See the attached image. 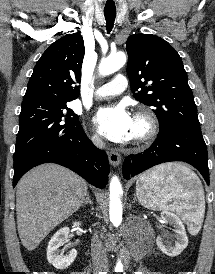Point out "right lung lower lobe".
<instances>
[{
    "instance_id": "obj_1",
    "label": "right lung lower lobe",
    "mask_w": 215,
    "mask_h": 274,
    "mask_svg": "<svg viewBox=\"0 0 215 274\" xmlns=\"http://www.w3.org/2000/svg\"><path fill=\"white\" fill-rule=\"evenodd\" d=\"M48 162L71 169L97 188L107 184L110 169L107 155L93 145L82 128L43 144L15 163L13 186L32 167Z\"/></svg>"
}]
</instances>
